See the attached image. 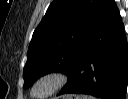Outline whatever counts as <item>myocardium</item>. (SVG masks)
Listing matches in <instances>:
<instances>
[{
  "label": "myocardium",
  "instance_id": "obj_1",
  "mask_svg": "<svg viewBox=\"0 0 128 99\" xmlns=\"http://www.w3.org/2000/svg\"><path fill=\"white\" fill-rule=\"evenodd\" d=\"M51 82L50 89L44 94H36V88L43 82ZM69 82V74L63 70H52L40 75L31 87V96L34 98H47L56 94Z\"/></svg>",
  "mask_w": 128,
  "mask_h": 99
}]
</instances>
